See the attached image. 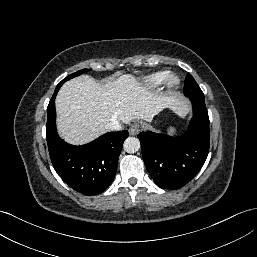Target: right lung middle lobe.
<instances>
[{
    "mask_svg": "<svg viewBox=\"0 0 257 257\" xmlns=\"http://www.w3.org/2000/svg\"><path fill=\"white\" fill-rule=\"evenodd\" d=\"M85 71H87V69H82V70H79V71H77V72L71 74L70 76L64 78V79L57 85V87H61L64 82H66V81H68L69 79H72V78H74V77H76V76L81 75V74H82L83 72H85ZM57 87H56V88H57Z\"/></svg>",
    "mask_w": 257,
    "mask_h": 257,
    "instance_id": "right-lung-middle-lobe-1",
    "label": "right lung middle lobe"
}]
</instances>
